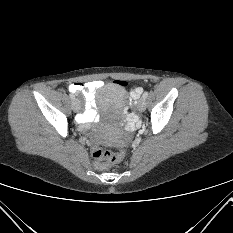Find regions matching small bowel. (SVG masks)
Returning <instances> with one entry per match:
<instances>
[{"label": "small bowel", "instance_id": "small-bowel-1", "mask_svg": "<svg viewBox=\"0 0 233 233\" xmlns=\"http://www.w3.org/2000/svg\"><path fill=\"white\" fill-rule=\"evenodd\" d=\"M103 86L100 80H93L86 83H72L68 86V90L74 94H81L85 100V110L78 116V122L82 127L94 122L97 118L95 93ZM141 92L140 88L135 89L132 95L137 96Z\"/></svg>", "mask_w": 233, "mask_h": 233}]
</instances>
